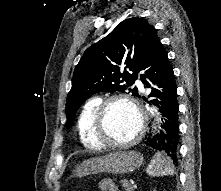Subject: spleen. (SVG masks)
<instances>
[{
  "label": "spleen",
  "mask_w": 221,
  "mask_h": 191,
  "mask_svg": "<svg viewBox=\"0 0 221 191\" xmlns=\"http://www.w3.org/2000/svg\"><path fill=\"white\" fill-rule=\"evenodd\" d=\"M147 174L152 177L171 176L174 174V167L161 153H156L146 170Z\"/></svg>",
  "instance_id": "1"
}]
</instances>
